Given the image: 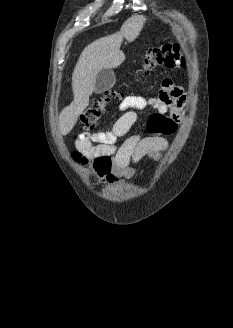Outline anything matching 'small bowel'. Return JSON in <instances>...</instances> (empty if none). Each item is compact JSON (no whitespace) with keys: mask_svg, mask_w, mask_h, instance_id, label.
Instances as JSON below:
<instances>
[{"mask_svg":"<svg viewBox=\"0 0 233 328\" xmlns=\"http://www.w3.org/2000/svg\"><path fill=\"white\" fill-rule=\"evenodd\" d=\"M188 100L184 89L171 79H164L157 97L144 98L127 96L118 105L123 114L107 131L83 132L76 140V147L86 153L99 152L112 160L111 172L106 176L108 184L120 183L122 179H131L137 175L135 165L145 156L158 160L167 150L168 142L163 137H142L131 135L120 145L117 142L132 129L137 120L136 110L152 107L157 112L167 114L175 120L183 115Z\"/></svg>","mask_w":233,"mask_h":328,"instance_id":"c3829d8e","label":"small bowel"}]
</instances>
